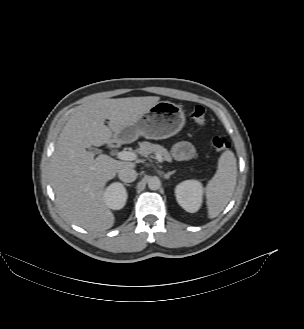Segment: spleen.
Wrapping results in <instances>:
<instances>
[{
	"instance_id": "obj_1",
	"label": "spleen",
	"mask_w": 304,
	"mask_h": 329,
	"mask_svg": "<svg viewBox=\"0 0 304 329\" xmlns=\"http://www.w3.org/2000/svg\"><path fill=\"white\" fill-rule=\"evenodd\" d=\"M236 178V158L232 151L226 150L219 158L215 175L206 186L209 218L217 217L229 203L236 186Z\"/></svg>"
}]
</instances>
